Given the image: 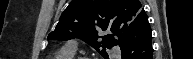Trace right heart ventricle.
<instances>
[{
  "label": "right heart ventricle",
  "mask_w": 193,
  "mask_h": 59,
  "mask_svg": "<svg viewBox=\"0 0 193 59\" xmlns=\"http://www.w3.org/2000/svg\"><path fill=\"white\" fill-rule=\"evenodd\" d=\"M75 52L70 51L66 48H62L55 56L54 59H72Z\"/></svg>",
  "instance_id": "1"
}]
</instances>
